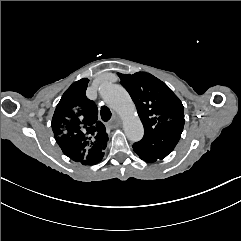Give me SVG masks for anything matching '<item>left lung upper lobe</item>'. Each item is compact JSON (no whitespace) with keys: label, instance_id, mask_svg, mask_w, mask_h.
<instances>
[{"label":"left lung upper lobe","instance_id":"obj_1","mask_svg":"<svg viewBox=\"0 0 241 241\" xmlns=\"http://www.w3.org/2000/svg\"><path fill=\"white\" fill-rule=\"evenodd\" d=\"M118 75L136 105L144 126L143 140L157 139L161 132L183 130L182 102L164 82L146 72Z\"/></svg>","mask_w":241,"mask_h":241}]
</instances>
